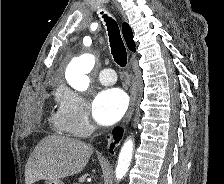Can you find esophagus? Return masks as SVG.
Wrapping results in <instances>:
<instances>
[{
	"mask_svg": "<svg viewBox=\"0 0 224 184\" xmlns=\"http://www.w3.org/2000/svg\"><path fill=\"white\" fill-rule=\"evenodd\" d=\"M129 72H130V77H131V102L129 109L125 115V118L123 120L122 126H125L129 123V121L132 118V115L135 110L136 106V101H137V89H136V81H135V76L131 67V64L129 65Z\"/></svg>",
	"mask_w": 224,
	"mask_h": 184,
	"instance_id": "esophagus-1",
	"label": "esophagus"
}]
</instances>
